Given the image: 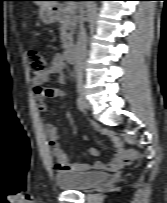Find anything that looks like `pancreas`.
I'll use <instances>...</instances> for the list:
<instances>
[{
  "label": "pancreas",
  "instance_id": "1",
  "mask_svg": "<svg viewBox=\"0 0 167 203\" xmlns=\"http://www.w3.org/2000/svg\"><path fill=\"white\" fill-rule=\"evenodd\" d=\"M78 18L74 11L70 12L66 9L61 11L59 23L61 24V42L63 49H68L72 46L73 34L77 27Z\"/></svg>",
  "mask_w": 167,
  "mask_h": 203
}]
</instances>
